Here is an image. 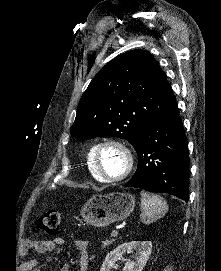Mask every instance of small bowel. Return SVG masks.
Wrapping results in <instances>:
<instances>
[{"label":"small bowel","mask_w":221,"mask_h":271,"mask_svg":"<svg viewBox=\"0 0 221 271\" xmlns=\"http://www.w3.org/2000/svg\"><path fill=\"white\" fill-rule=\"evenodd\" d=\"M64 240L60 237L54 239H27L24 241V251L33 250L39 254L50 253L55 250L57 246L63 245ZM75 247L80 254L79 258V270L88 271L89 268V253H88V241L85 239H77L75 241ZM36 262L34 260L27 264L28 268H33ZM33 271H38L37 268H33ZM60 271H72V267L69 264H64Z\"/></svg>","instance_id":"obj_1"}]
</instances>
